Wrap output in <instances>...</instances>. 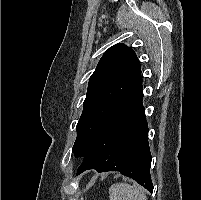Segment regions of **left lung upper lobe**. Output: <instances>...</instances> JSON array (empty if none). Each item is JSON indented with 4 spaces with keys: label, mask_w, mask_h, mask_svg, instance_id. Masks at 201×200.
Wrapping results in <instances>:
<instances>
[{
    "label": "left lung upper lobe",
    "mask_w": 201,
    "mask_h": 200,
    "mask_svg": "<svg viewBox=\"0 0 201 200\" xmlns=\"http://www.w3.org/2000/svg\"><path fill=\"white\" fill-rule=\"evenodd\" d=\"M141 82V65L131 48L116 44L103 54L89 79L76 127L77 138L72 150L75 157H83L106 117Z\"/></svg>",
    "instance_id": "left-lung-upper-lobe-1"
}]
</instances>
